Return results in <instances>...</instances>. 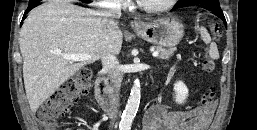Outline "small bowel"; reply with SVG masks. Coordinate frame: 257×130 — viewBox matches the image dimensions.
<instances>
[{"instance_id":"c3829d8e","label":"small bowel","mask_w":257,"mask_h":130,"mask_svg":"<svg viewBox=\"0 0 257 130\" xmlns=\"http://www.w3.org/2000/svg\"><path fill=\"white\" fill-rule=\"evenodd\" d=\"M214 110L212 105L209 108L172 111L164 104H156L145 113L142 130H205L212 120Z\"/></svg>"}]
</instances>
